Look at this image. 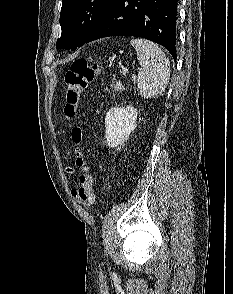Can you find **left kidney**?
Here are the masks:
<instances>
[{
  "mask_svg": "<svg viewBox=\"0 0 233 294\" xmlns=\"http://www.w3.org/2000/svg\"><path fill=\"white\" fill-rule=\"evenodd\" d=\"M137 116L138 111L132 106L113 107L107 112L105 138L109 147L117 148L124 145L137 126Z\"/></svg>",
  "mask_w": 233,
  "mask_h": 294,
  "instance_id": "obj_1",
  "label": "left kidney"
}]
</instances>
